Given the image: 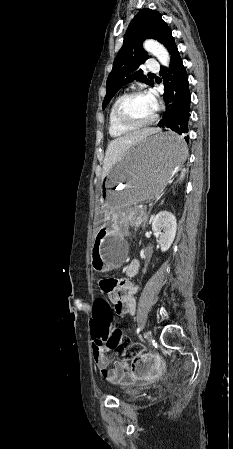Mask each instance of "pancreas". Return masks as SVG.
<instances>
[{"label":"pancreas","mask_w":233,"mask_h":449,"mask_svg":"<svg viewBox=\"0 0 233 449\" xmlns=\"http://www.w3.org/2000/svg\"><path fill=\"white\" fill-rule=\"evenodd\" d=\"M121 218L125 224L138 227L148 221V214L144 209L134 207L131 209H126L122 213Z\"/></svg>","instance_id":"obj_1"}]
</instances>
